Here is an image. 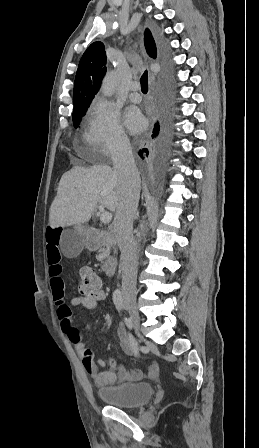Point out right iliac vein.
I'll return each instance as SVG.
<instances>
[{
    "label": "right iliac vein",
    "mask_w": 259,
    "mask_h": 448,
    "mask_svg": "<svg viewBox=\"0 0 259 448\" xmlns=\"http://www.w3.org/2000/svg\"><path fill=\"white\" fill-rule=\"evenodd\" d=\"M125 307L130 314L131 323L136 333H138L140 327V315L137 309L136 302L132 299H127L125 301Z\"/></svg>",
    "instance_id": "1"
}]
</instances>
